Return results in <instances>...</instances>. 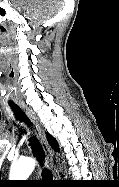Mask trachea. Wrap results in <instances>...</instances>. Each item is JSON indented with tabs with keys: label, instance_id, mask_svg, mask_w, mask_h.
Returning a JSON list of instances; mask_svg holds the SVG:
<instances>
[{
	"label": "trachea",
	"instance_id": "1",
	"mask_svg": "<svg viewBox=\"0 0 119 187\" xmlns=\"http://www.w3.org/2000/svg\"><path fill=\"white\" fill-rule=\"evenodd\" d=\"M10 107L12 108V110L14 112V115H15L17 120H19L20 122H24L29 127H31L30 120L28 119L26 114L21 110V108L19 106L10 105ZM29 141H30L29 145L32 148V153L36 157L39 164L41 166H43L44 160H45V154H44V151L41 147V144L39 143V141L34 136L31 137L29 139ZM42 176H43L44 179H50V180L53 179L52 173L47 168L42 169Z\"/></svg>",
	"mask_w": 119,
	"mask_h": 187
}]
</instances>
